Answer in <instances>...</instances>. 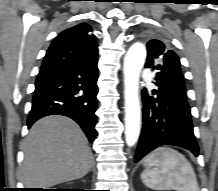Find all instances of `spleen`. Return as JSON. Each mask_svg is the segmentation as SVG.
<instances>
[{"label": "spleen", "instance_id": "3e777b00", "mask_svg": "<svg viewBox=\"0 0 218 191\" xmlns=\"http://www.w3.org/2000/svg\"><path fill=\"white\" fill-rule=\"evenodd\" d=\"M143 165L142 182L153 190L199 191L190 162L172 148L156 149L145 158Z\"/></svg>", "mask_w": 218, "mask_h": 191}]
</instances>
